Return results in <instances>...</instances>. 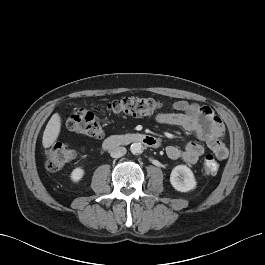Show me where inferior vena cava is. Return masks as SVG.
<instances>
[{
	"instance_id": "1",
	"label": "inferior vena cava",
	"mask_w": 265,
	"mask_h": 265,
	"mask_svg": "<svg viewBox=\"0 0 265 265\" xmlns=\"http://www.w3.org/2000/svg\"><path fill=\"white\" fill-rule=\"evenodd\" d=\"M126 152H127L126 148L120 146V147L114 148L111 151L110 155L112 158H120V157L124 156L126 154Z\"/></svg>"
}]
</instances>
